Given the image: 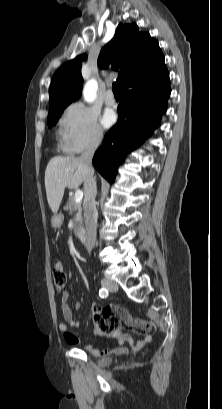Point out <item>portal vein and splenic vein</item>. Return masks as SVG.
Listing matches in <instances>:
<instances>
[{"label":"portal vein and splenic vein","mask_w":222,"mask_h":409,"mask_svg":"<svg viewBox=\"0 0 222 409\" xmlns=\"http://www.w3.org/2000/svg\"><path fill=\"white\" fill-rule=\"evenodd\" d=\"M82 198H83V192L80 191V190H77V191L75 192V196H74L75 202H76V203H80L81 200H82Z\"/></svg>","instance_id":"portal-vein-and-splenic-vein-1"}]
</instances>
